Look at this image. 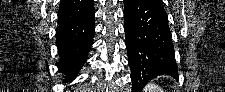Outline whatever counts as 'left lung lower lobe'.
<instances>
[{
    "mask_svg": "<svg viewBox=\"0 0 225 92\" xmlns=\"http://www.w3.org/2000/svg\"><path fill=\"white\" fill-rule=\"evenodd\" d=\"M124 18L132 92L160 75L178 79L168 17L162 4L124 0Z\"/></svg>",
    "mask_w": 225,
    "mask_h": 92,
    "instance_id": "obj_1",
    "label": "left lung lower lobe"
}]
</instances>
